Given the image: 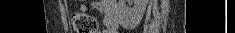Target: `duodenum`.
<instances>
[{"label": "duodenum", "mask_w": 235, "mask_h": 33, "mask_svg": "<svg viewBox=\"0 0 235 33\" xmlns=\"http://www.w3.org/2000/svg\"><path fill=\"white\" fill-rule=\"evenodd\" d=\"M118 14L117 4L113 1H107L104 18L106 33H113L117 29L119 23Z\"/></svg>", "instance_id": "duodenum-1"}]
</instances>
